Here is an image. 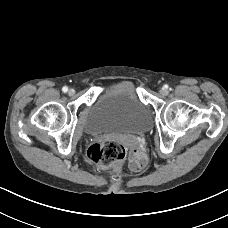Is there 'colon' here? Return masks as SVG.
<instances>
[{"mask_svg": "<svg viewBox=\"0 0 228 228\" xmlns=\"http://www.w3.org/2000/svg\"><path fill=\"white\" fill-rule=\"evenodd\" d=\"M125 155V147L109 139L93 144L87 152L89 162L99 168H110L121 162Z\"/></svg>", "mask_w": 228, "mask_h": 228, "instance_id": "5ec220e1", "label": "colon"}]
</instances>
